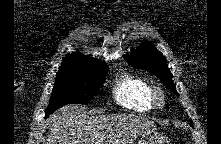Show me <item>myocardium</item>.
I'll return each mask as SVG.
<instances>
[{"instance_id":"1","label":"myocardium","mask_w":221,"mask_h":144,"mask_svg":"<svg viewBox=\"0 0 221 144\" xmlns=\"http://www.w3.org/2000/svg\"><path fill=\"white\" fill-rule=\"evenodd\" d=\"M151 101L153 106L161 108L165 105L166 96L163 89L159 86L152 88Z\"/></svg>"}]
</instances>
